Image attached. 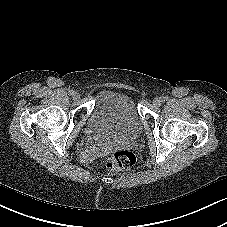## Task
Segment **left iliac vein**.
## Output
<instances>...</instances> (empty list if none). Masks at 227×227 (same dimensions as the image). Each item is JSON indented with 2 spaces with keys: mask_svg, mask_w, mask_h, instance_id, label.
<instances>
[{
  "mask_svg": "<svg viewBox=\"0 0 227 227\" xmlns=\"http://www.w3.org/2000/svg\"><path fill=\"white\" fill-rule=\"evenodd\" d=\"M161 103H162L161 98H155V99L153 100V105H154L155 107L161 106Z\"/></svg>",
  "mask_w": 227,
  "mask_h": 227,
  "instance_id": "obj_1",
  "label": "left iliac vein"
}]
</instances>
